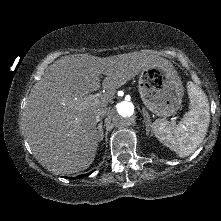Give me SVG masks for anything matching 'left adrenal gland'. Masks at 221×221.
<instances>
[{
	"label": "left adrenal gland",
	"instance_id": "a2214340",
	"mask_svg": "<svg viewBox=\"0 0 221 221\" xmlns=\"http://www.w3.org/2000/svg\"><path fill=\"white\" fill-rule=\"evenodd\" d=\"M142 112H143V117H144V123H145V126H146V133L148 135L150 132H152V125H151L150 115L145 110V108H143Z\"/></svg>",
	"mask_w": 221,
	"mask_h": 221
}]
</instances>
